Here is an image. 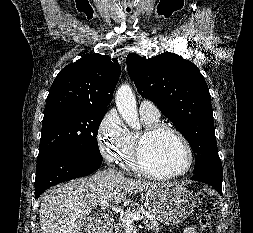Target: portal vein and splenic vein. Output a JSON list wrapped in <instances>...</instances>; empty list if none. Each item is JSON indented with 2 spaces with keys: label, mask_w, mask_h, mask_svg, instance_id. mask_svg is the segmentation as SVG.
Segmentation results:
<instances>
[{
  "label": "portal vein and splenic vein",
  "mask_w": 253,
  "mask_h": 233,
  "mask_svg": "<svg viewBox=\"0 0 253 233\" xmlns=\"http://www.w3.org/2000/svg\"><path fill=\"white\" fill-rule=\"evenodd\" d=\"M99 206H100L101 209H105V208L109 207V203H108L107 200H103V201L100 202ZM123 214L125 216V221H126L127 225H131V224H133L134 221L143 219V216H141L140 214H133V213H129L127 211L122 212V215Z\"/></svg>",
  "instance_id": "portal-vein-and-splenic-vein-1"
}]
</instances>
